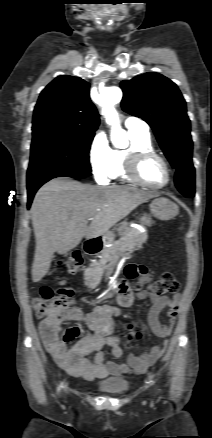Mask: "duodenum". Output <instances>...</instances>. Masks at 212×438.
<instances>
[{"mask_svg": "<svg viewBox=\"0 0 212 438\" xmlns=\"http://www.w3.org/2000/svg\"><path fill=\"white\" fill-rule=\"evenodd\" d=\"M101 246H102V241L100 238H91V239H87L84 242L83 249L85 253L89 255H95L100 251Z\"/></svg>", "mask_w": 212, "mask_h": 438, "instance_id": "410a0bca", "label": "duodenum"}]
</instances>
